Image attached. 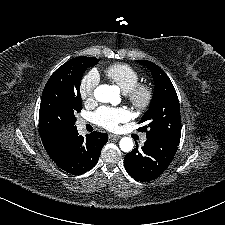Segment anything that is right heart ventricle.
<instances>
[{
    "label": "right heart ventricle",
    "instance_id": "e07e8e85",
    "mask_svg": "<svg viewBox=\"0 0 225 225\" xmlns=\"http://www.w3.org/2000/svg\"><path fill=\"white\" fill-rule=\"evenodd\" d=\"M104 72L110 80L119 86L123 93L129 91L140 81L139 72L134 67L125 63L110 65Z\"/></svg>",
    "mask_w": 225,
    "mask_h": 225
}]
</instances>
